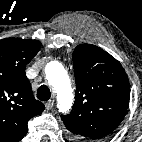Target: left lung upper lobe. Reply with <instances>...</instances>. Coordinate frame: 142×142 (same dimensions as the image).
Returning <instances> with one entry per match:
<instances>
[{
    "label": "left lung upper lobe",
    "mask_w": 142,
    "mask_h": 142,
    "mask_svg": "<svg viewBox=\"0 0 142 142\" xmlns=\"http://www.w3.org/2000/svg\"><path fill=\"white\" fill-rule=\"evenodd\" d=\"M73 65L75 103L61 119L74 141L105 140L125 116L130 97L128 77L113 56L91 44L75 48Z\"/></svg>",
    "instance_id": "5c2ea615"
}]
</instances>
